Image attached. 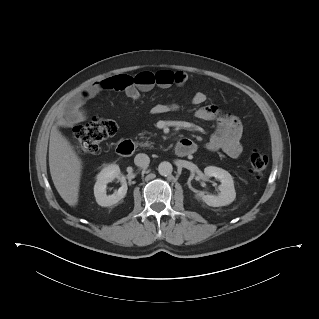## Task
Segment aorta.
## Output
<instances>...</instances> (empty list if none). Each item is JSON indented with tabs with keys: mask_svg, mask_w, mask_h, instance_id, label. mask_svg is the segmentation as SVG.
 Instances as JSON below:
<instances>
[{
	"mask_svg": "<svg viewBox=\"0 0 319 319\" xmlns=\"http://www.w3.org/2000/svg\"><path fill=\"white\" fill-rule=\"evenodd\" d=\"M173 167L170 162L164 161L161 162L158 166V172L162 176H168L172 173Z\"/></svg>",
	"mask_w": 319,
	"mask_h": 319,
	"instance_id": "aorta-1",
	"label": "aorta"
}]
</instances>
